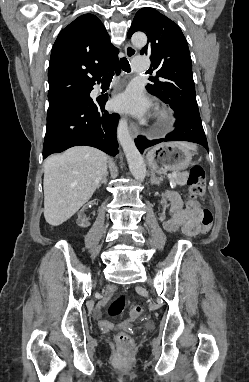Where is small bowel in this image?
<instances>
[{"label": "small bowel", "mask_w": 249, "mask_h": 382, "mask_svg": "<svg viewBox=\"0 0 249 382\" xmlns=\"http://www.w3.org/2000/svg\"><path fill=\"white\" fill-rule=\"evenodd\" d=\"M170 202L171 217L164 222V227L169 232L181 230L187 236H195L200 231L202 210L188 209L183 207L182 201L177 194L171 193L167 196ZM113 288L108 289V294Z\"/></svg>", "instance_id": "c3829d8e"}]
</instances>
